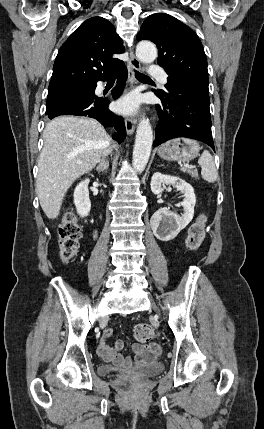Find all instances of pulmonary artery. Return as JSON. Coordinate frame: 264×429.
<instances>
[{"label": "pulmonary artery", "instance_id": "e3ab8cb5", "mask_svg": "<svg viewBox=\"0 0 264 429\" xmlns=\"http://www.w3.org/2000/svg\"><path fill=\"white\" fill-rule=\"evenodd\" d=\"M148 74L152 77L157 78L159 82L163 85H165L167 82L164 70L157 65H151L148 69Z\"/></svg>", "mask_w": 264, "mask_h": 429}]
</instances>
